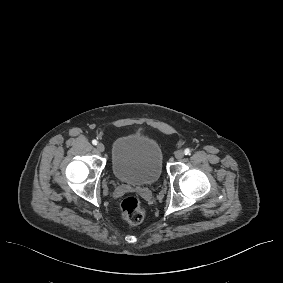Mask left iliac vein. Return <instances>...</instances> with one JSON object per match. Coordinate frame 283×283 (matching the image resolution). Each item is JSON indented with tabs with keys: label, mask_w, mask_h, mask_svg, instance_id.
Returning a JSON list of instances; mask_svg holds the SVG:
<instances>
[{
	"label": "left iliac vein",
	"mask_w": 283,
	"mask_h": 283,
	"mask_svg": "<svg viewBox=\"0 0 283 283\" xmlns=\"http://www.w3.org/2000/svg\"><path fill=\"white\" fill-rule=\"evenodd\" d=\"M174 155L177 159H182L184 157V151L179 149L174 153Z\"/></svg>",
	"instance_id": "obj_1"
}]
</instances>
